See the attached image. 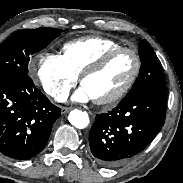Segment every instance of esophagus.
<instances>
[{"mask_svg": "<svg viewBox=\"0 0 183 183\" xmlns=\"http://www.w3.org/2000/svg\"><path fill=\"white\" fill-rule=\"evenodd\" d=\"M71 109H72L71 107H62L61 108V113L65 114V113L69 112Z\"/></svg>", "mask_w": 183, "mask_h": 183, "instance_id": "34e87169", "label": "esophagus"}]
</instances>
